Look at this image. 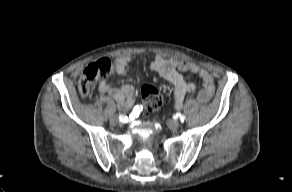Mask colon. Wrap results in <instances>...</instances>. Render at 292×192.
Returning a JSON list of instances; mask_svg holds the SVG:
<instances>
[{
	"instance_id": "5ec220e1",
	"label": "colon",
	"mask_w": 292,
	"mask_h": 192,
	"mask_svg": "<svg viewBox=\"0 0 292 192\" xmlns=\"http://www.w3.org/2000/svg\"><path fill=\"white\" fill-rule=\"evenodd\" d=\"M114 73H116L115 66H113L107 58H102L90 63L84 69L79 79L78 90L80 95L86 97L90 93L94 81ZM141 93L145 115H150L162 105L163 93L157 88L146 85L142 88Z\"/></svg>"
}]
</instances>
